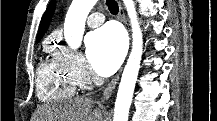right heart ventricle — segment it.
<instances>
[{
  "label": "right heart ventricle",
  "mask_w": 217,
  "mask_h": 121,
  "mask_svg": "<svg viewBox=\"0 0 217 121\" xmlns=\"http://www.w3.org/2000/svg\"><path fill=\"white\" fill-rule=\"evenodd\" d=\"M76 80L58 57L42 62L37 70V96L43 102L61 101L75 94Z\"/></svg>",
  "instance_id": "1"
}]
</instances>
